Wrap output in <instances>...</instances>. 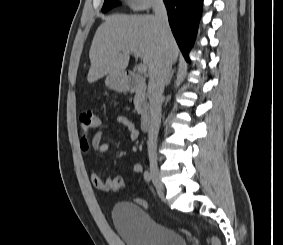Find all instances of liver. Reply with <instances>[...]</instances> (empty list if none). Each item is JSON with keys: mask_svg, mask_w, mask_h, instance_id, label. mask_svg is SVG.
Returning a JSON list of instances; mask_svg holds the SVG:
<instances>
[{"mask_svg": "<svg viewBox=\"0 0 283 245\" xmlns=\"http://www.w3.org/2000/svg\"><path fill=\"white\" fill-rule=\"evenodd\" d=\"M130 51L139 54L148 67L149 77L167 53L171 64L179 54L172 34L165 40L153 15H112L105 19L93 38L87 80L93 83L104 75H123Z\"/></svg>", "mask_w": 283, "mask_h": 245, "instance_id": "liver-1", "label": "liver"}]
</instances>
